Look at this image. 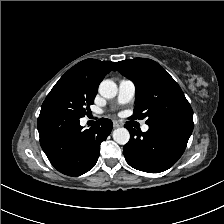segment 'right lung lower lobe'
<instances>
[{
  "label": "right lung lower lobe",
  "instance_id": "obj_1",
  "mask_svg": "<svg viewBox=\"0 0 224 224\" xmlns=\"http://www.w3.org/2000/svg\"><path fill=\"white\" fill-rule=\"evenodd\" d=\"M79 119L55 110H41L37 121L43 151L58 171L69 176L82 175L96 164L100 144L113 127L111 120L101 118L83 130Z\"/></svg>",
  "mask_w": 224,
  "mask_h": 224
}]
</instances>
